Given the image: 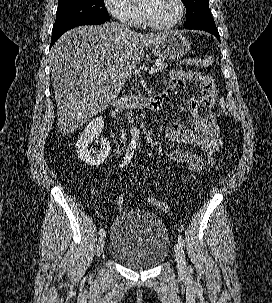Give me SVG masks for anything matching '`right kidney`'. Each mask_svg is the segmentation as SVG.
<instances>
[{"label":"right kidney","instance_id":"obj_1","mask_svg":"<svg viewBox=\"0 0 272 303\" xmlns=\"http://www.w3.org/2000/svg\"><path fill=\"white\" fill-rule=\"evenodd\" d=\"M104 128V120L102 116H98L87 125L83 134L76 143V152L78 158L90 166H98L109 156L111 147L106 139L99 140V134ZM96 140L101 143L102 149L97 154H91L89 143Z\"/></svg>","mask_w":272,"mask_h":303}]
</instances>
